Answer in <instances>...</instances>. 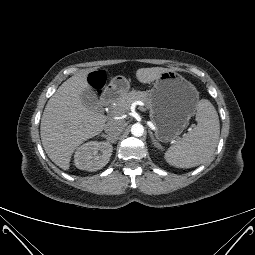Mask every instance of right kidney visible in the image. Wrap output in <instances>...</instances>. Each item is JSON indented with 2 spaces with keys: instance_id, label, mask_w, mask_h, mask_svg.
I'll list each match as a JSON object with an SVG mask.
<instances>
[{
  "instance_id": "1",
  "label": "right kidney",
  "mask_w": 255,
  "mask_h": 255,
  "mask_svg": "<svg viewBox=\"0 0 255 255\" xmlns=\"http://www.w3.org/2000/svg\"><path fill=\"white\" fill-rule=\"evenodd\" d=\"M112 151L113 147L109 143L87 142L75 152V166L80 170L97 171L108 163Z\"/></svg>"
}]
</instances>
